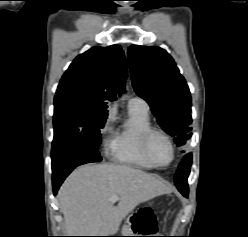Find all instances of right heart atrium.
<instances>
[{"label": "right heart atrium", "mask_w": 248, "mask_h": 237, "mask_svg": "<svg viewBox=\"0 0 248 237\" xmlns=\"http://www.w3.org/2000/svg\"><path fill=\"white\" fill-rule=\"evenodd\" d=\"M111 122H112V114L111 112H109L99 130L101 143L105 153H108L112 148V140L110 138Z\"/></svg>", "instance_id": "1"}]
</instances>
